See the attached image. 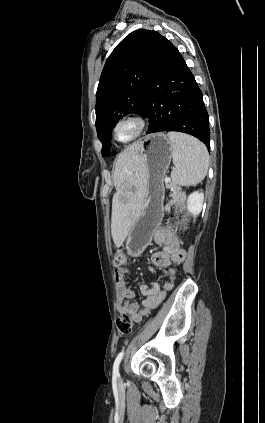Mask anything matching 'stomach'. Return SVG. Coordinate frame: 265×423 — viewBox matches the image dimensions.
<instances>
[{
	"label": "stomach",
	"mask_w": 265,
	"mask_h": 423,
	"mask_svg": "<svg viewBox=\"0 0 265 423\" xmlns=\"http://www.w3.org/2000/svg\"><path fill=\"white\" fill-rule=\"evenodd\" d=\"M139 160L145 172L146 192L141 210L131 227L126 240V249L133 257L140 256L164 215L163 179L172 158V143L164 133H156L138 142Z\"/></svg>",
	"instance_id": "1"
}]
</instances>
